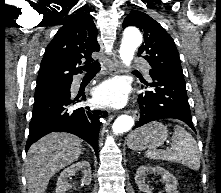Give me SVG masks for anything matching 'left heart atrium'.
I'll return each mask as SVG.
<instances>
[{
    "label": "left heart atrium",
    "instance_id": "39dd6f15",
    "mask_svg": "<svg viewBox=\"0 0 221 193\" xmlns=\"http://www.w3.org/2000/svg\"><path fill=\"white\" fill-rule=\"evenodd\" d=\"M94 98L99 105L119 108L128 101V89L119 80L108 81L95 90Z\"/></svg>",
    "mask_w": 221,
    "mask_h": 193
}]
</instances>
